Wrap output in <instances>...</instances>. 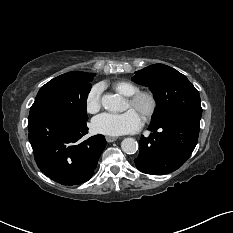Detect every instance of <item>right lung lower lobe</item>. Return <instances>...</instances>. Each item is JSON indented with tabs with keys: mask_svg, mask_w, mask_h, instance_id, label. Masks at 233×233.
I'll return each instance as SVG.
<instances>
[{
	"mask_svg": "<svg viewBox=\"0 0 233 233\" xmlns=\"http://www.w3.org/2000/svg\"><path fill=\"white\" fill-rule=\"evenodd\" d=\"M28 137L39 169L62 185L88 181L106 146L103 135L82 140L86 121L61 113H42L28 120Z\"/></svg>",
	"mask_w": 233,
	"mask_h": 233,
	"instance_id": "right-lung-lower-lobe-1",
	"label": "right lung lower lobe"
}]
</instances>
